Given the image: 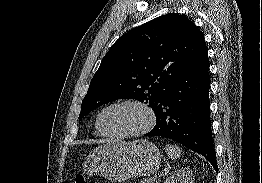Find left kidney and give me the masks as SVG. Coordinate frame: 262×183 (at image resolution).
<instances>
[{
  "mask_svg": "<svg viewBox=\"0 0 262 183\" xmlns=\"http://www.w3.org/2000/svg\"><path fill=\"white\" fill-rule=\"evenodd\" d=\"M164 183H194L193 172L190 168L184 167L173 172Z\"/></svg>",
  "mask_w": 262,
  "mask_h": 183,
  "instance_id": "1",
  "label": "left kidney"
}]
</instances>
